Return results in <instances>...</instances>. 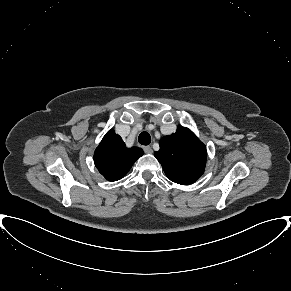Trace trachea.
Returning a JSON list of instances; mask_svg holds the SVG:
<instances>
[{
    "label": "trachea",
    "instance_id": "1",
    "mask_svg": "<svg viewBox=\"0 0 291 291\" xmlns=\"http://www.w3.org/2000/svg\"><path fill=\"white\" fill-rule=\"evenodd\" d=\"M138 141L142 145H149L151 142V137H150L149 133L142 132L138 137Z\"/></svg>",
    "mask_w": 291,
    "mask_h": 291
}]
</instances>
